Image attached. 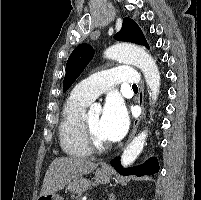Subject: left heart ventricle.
<instances>
[{"instance_id":"obj_1","label":"left heart ventricle","mask_w":201,"mask_h":200,"mask_svg":"<svg viewBox=\"0 0 201 200\" xmlns=\"http://www.w3.org/2000/svg\"><path fill=\"white\" fill-rule=\"evenodd\" d=\"M86 122H87L90 130L92 131L93 135L95 136V138L98 141H100L102 143L108 142L104 138V136L102 135V132H101V114L100 113L87 117Z\"/></svg>"}]
</instances>
